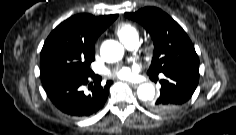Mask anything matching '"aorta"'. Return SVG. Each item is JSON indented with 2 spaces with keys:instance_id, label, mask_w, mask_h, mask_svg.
Returning <instances> with one entry per match:
<instances>
[{
  "instance_id": "762f6f07",
  "label": "aorta",
  "mask_w": 236,
  "mask_h": 135,
  "mask_svg": "<svg viewBox=\"0 0 236 135\" xmlns=\"http://www.w3.org/2000/svg\"><path fill=\"white\" fill-rule=\"evenodd\" d=\"M100 55L105 62H117L124 55V47L117 41L106 40L101 45ZM137 95L142 101H151L155 96V88L150 83L141 84L137 89Z\"/></svg>"
}]
</instances>
